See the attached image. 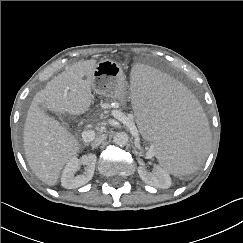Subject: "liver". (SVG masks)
<instances>
[{"mask_svg":"<svg viewBox=\"0 0 243 243\" xmlns=\"http://www.w3.org/2000/svg\"><path fill=\"white\" fill-rule=\"evenodd\" d=\"M94 59L68 67L38 92L29 107L24 125V151L32 172L42 182L54 186L64 165L79 151L78 140L39 106L58 113L80 115L93 102Z\"/></svg>","mask_w":243,"mask_h":243,"instance_id":"obj_1","label":"liver"}]
</instances>
